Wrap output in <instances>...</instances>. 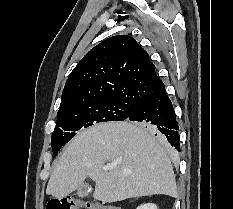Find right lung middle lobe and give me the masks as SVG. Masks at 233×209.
Returning a JSON list of instances; mask_svg holds the SVG:
<instances>
[{"mask_svg": "<svg viewBox=\"0 0 233 209\" xmlns=\"http://www.w3.org/2000/svg\"><path fill=\"white\" fill-rule=\"evenodd\" d=\"M136 105L121 99H102L57 115V124L51 138L54 156L58 154L63 145L76 135L75 131L100 122L124 121ZM139 125L153 131V128L147 124L139 123Z\"/></svg>", "mask_w": 233, "mask_h": 209, "instance_id": "1", "label": "right lung middle lobe"}]
</instances>
